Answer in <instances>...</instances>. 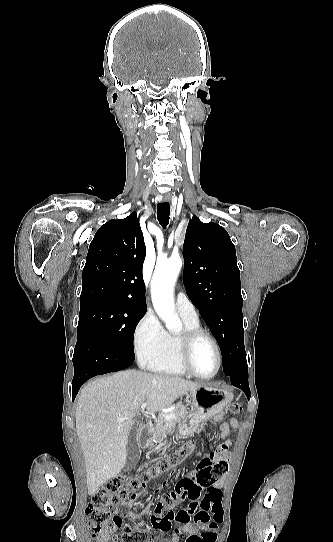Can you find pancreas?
Listing matches in <instances>:
<instances>
[{
	"mask_svg": "<svg viewBox=\"0 0 333 542\" xmlns=\"http://www.w3.org/2000/svg\"><path fill=\"white\" fill-rule=\"evenodd\" d=\"M169 414H174L175 418H171V420L164 418V416H169ZM186 418H191V414L187 412L184 404H176L173 412H161L156 420L153 438H155L156 442H160L164 446L166 444V436L175 430L176 424H179L181 420H186Z\"/></svg>",
	"mask_w": 333,
	"mask_h": 542,
	"instance_id": "cf45deb5",
	"label": "pancreas"
}]
</instances>
